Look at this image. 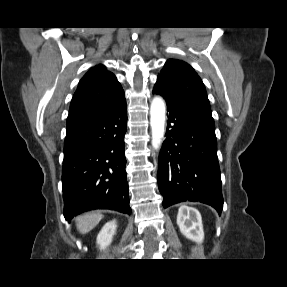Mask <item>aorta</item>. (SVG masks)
Listing matches in <instances>:
<instances>
[{
  "label": "aorta",
  "instance_id": "762f6f07",
  "mask_svg": "<svg viewBox=\"0 0 287 287\" xmlns=\"http://www.w3.org/2000/svg\"><path fill=\"white\" fill-rule=\"evenodd\" d=\"M165 102L161 97H154L150 107V125L152 131V146L158 149L164 137Z\"/></svg>",
  "mask_w": 287,
  "mask_h": 287
}]
</instances>
